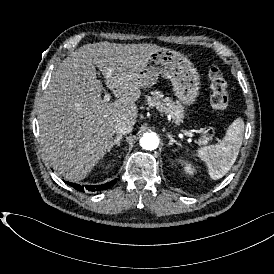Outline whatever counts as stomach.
<instances>
[{
  "instance_id": "0dacf381",
  "label": "stomach",
  "mask_w": 274,
  "mask_h": 274,
  "mask_svg": "<svg viewBox=\"0 0 274 274\" xmlns=\"http://www.w3.org/2000/svg\"><path fill=\"white\" fill-rule=\"evenodd\" d=\"M138 74L141 88L153 86L159 75L169 79L175 96L184 105L194 104L199 95L200 75L193 63L180 52L160 47L150 55Z\"/></svg>"
}]
</instances>
